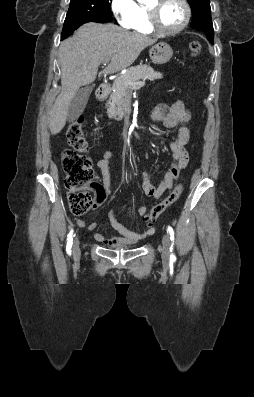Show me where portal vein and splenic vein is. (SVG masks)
<instances>
[{"mask_svg":"<svg viewBox=\"0 0 254 397\" xmlns=\"http://www.w3.org/2000/svg\"><path fill=\"white\" fill-rule=\"evenodd\" d=\"M109 60H110V59L104 60V61L102 62V64H103L104 66L107 65V63L109 62ZM131 85L134 86V87H141V86L145 85V81H138V82H136V83H131Z\"/></svg>","mask_w":254,"mask_h":397,"instance_id":"18ae733b","label":"portal vein and splenic vein"}]
</instances>
